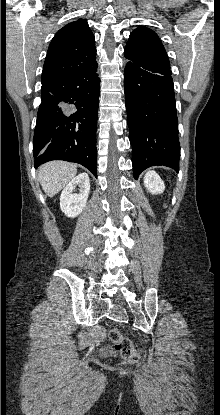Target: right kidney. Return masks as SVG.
Listing matches in <instances>:
<instances>
[{
	"instance_id": "right-kidney-1",
	"label": "right kidney",
	"mask_w": 220,
	"mask_h": 415,
	"mask_svg": "<svg viewBox=\"0 0 220 415\" xmlns=\"http://www.w3.org/2000/svg\"><path fill=\"white\" fill-rule=\"evenodd\" d=\"M79 187V193H75V188ZM90 192V182L87 173L77 175L64 188L60 196V208L66 216L74 218L78 216L87 203Z\"/></svg>"
}]
</instances>
